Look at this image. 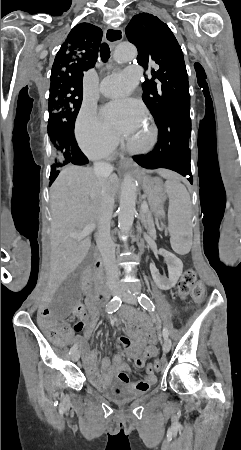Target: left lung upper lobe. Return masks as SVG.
Listing matches in <instances>:
<instances>
[{
    "label": "left lung upper lobe",
    "mask_w": 241,
    "mask_h": 450,
    "mask_svg": "<svg viewBox=\"0 0 241 450\" xmlns=\"http://www.w3.org/2000/svg\"><path fill=\"white\" fill-rule=\"evenodd\" d=\"M126 36L137 47L138 64L145 69L151 63L159 65L158 70H152V78L142 84V99L155 121L176 106L189 103L183 53L167 24L152 14L140 13L127 25Z\"/></svg>",
    "instance_id": "obj_1"
}]
</instances>
